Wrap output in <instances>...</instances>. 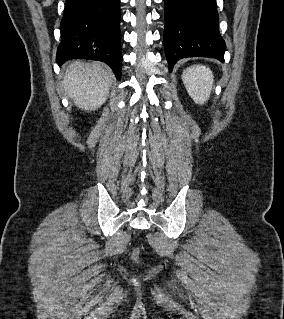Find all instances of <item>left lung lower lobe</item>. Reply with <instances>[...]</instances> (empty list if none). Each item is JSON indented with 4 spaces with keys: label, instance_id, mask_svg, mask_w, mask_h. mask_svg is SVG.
Segmentation results:
<instances>
[{
    "label": "left lung lower lobe",
    "instance_id": "left-lung-lower-lobe-1",
    "mask_svg": "<svg viewBox=\"0 0 284 319\" xmlns=\"http://www.w3.org/2000/svg\"><path fill=\"white\" fill-rule=\"evenodd\" d=\"M164 48L170 72L186 57L224 61L225 42L219 34L215 0H164Z\"/></svg>",
    "mask_w": 284,
    "mask_h": 319
}]
</instances>
